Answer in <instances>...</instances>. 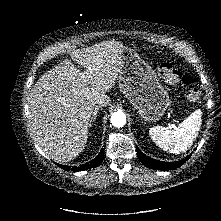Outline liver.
I'll use <instances>...</instances> for the list:
<instances>
[{
  "instance_id": "liver-1",
  "label": "liver",
  "mask_w": 221,
  "mask_h": 221,
  "mask_svg": "<svg viewBox=\"0 0 221 221\" xmlns=\"http://www.w3.org/2000/svg\"><path fill=\"white\" fill-rule=\"evenodd\" d=\"M117 41H104L72 52L39 78L31 90L28 108L31 132L37 144L53 160L68 162L85 148L94 100L114 86L120 74Z\"/></svg>"
}]
</instances>
